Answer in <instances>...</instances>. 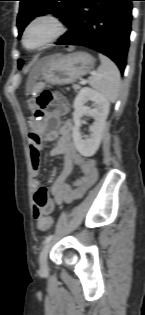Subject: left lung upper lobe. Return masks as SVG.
Here are the masks:
<instances>
[{
	"instance_id": "obj_1",
	"label": "left lung upper lobe",
	"mask_w": 145,
	"mask_h": 315,
	"mask_svg": "<svg viewBox=\"0 0 145 315\" xmlns=\"http://www.w3.org/2000/svg\"><path fill=\"white\" fill-rule=\"evenodd\" d=\"M20 10L17 17V27L19 37L21 36L26 25L39 14H57L63 19L65 24L76 0H19ZM23 62L18 61V67L21 68Z\"/></svg>"
}]
</instances>
